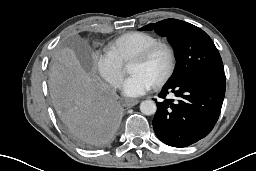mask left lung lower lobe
<instances>
[{
	"instance_id": "obj_1",
	"label": "left lung lower lobe",
	"mask_w": 256,
	"mask_h": 171,
	"mask_svg": "<svg viewBox=\"0 0 256 171\" xmlns=\"http://www.w3.org/2000/svg\"><path fill=\"white\" fill-rule=\"evenodd\" d=\"M157 102L153 128L157 137L173 147H186L210 133L218 120L224 95L225 73L202 72L165 84Z\"/></svg>"
}]
</instances>
